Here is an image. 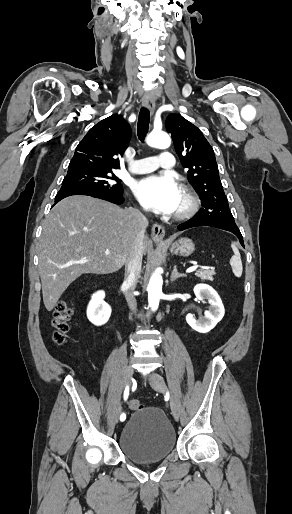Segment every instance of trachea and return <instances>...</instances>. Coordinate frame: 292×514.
<instances>
[{"mask_svg":"<svg viewBox=\"0 0 292 514\" xmlns=\"http://www.w3.org/2000/svg\"><path fill=\"white\" fill-rule=\"evenodd\" d=\"M150 123V112L147 108H141L138 118L137 124V135L141 142H144V139L148 133Z\"/></svg>","mask_w":292,"mask_h":514,"instance_id":"1","label":"trachea"}]
</instances>
